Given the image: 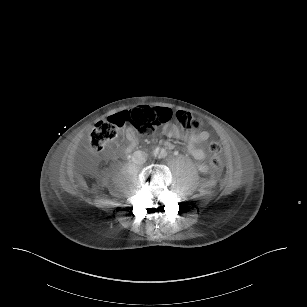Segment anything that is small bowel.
Returning a JSON list of instances; mask_svg holds the SVG:
<instances>
[{"label": "small bowel", "mask_w": 307, "mask_h": 307, "mask_svg": "<svg viewBox=\"0 0 307 307\" xmlns=\"http://www.w3.org/2000/svg\"><path fill=\"white\" fill-rule=\"evenodd\" d=\"M164 134L170 138H177L184 140L187 143L189 153L197 160L202 161L206 157V152L203 148L199 147V144L206 142L210 134L207 131H198L190 134H183L178 127L172 124H167L164 129ZM126 138L128 140V149L134 148L138 144V138L133 129H129L126 132ZM168 148H172L170 143L166 144ZM198 170L205 172L207 166L203 163L198 164Z\"/></svg>", "instance_id": "small-bowel-1"}]
</instances>
